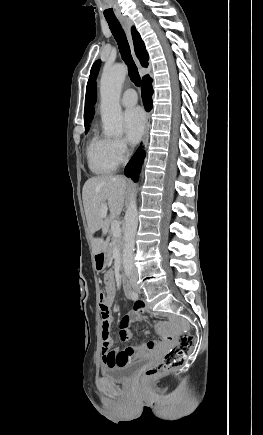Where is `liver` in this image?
I'll use <instances>...</instances> for the list:
<instances>
[{
	"mask_svg": "<svg viewBox=\"0 0 263 435\" xmlns=\"http://www.w3.org/2000/svg\"><path fill=\"white\" fill-rule=\"evenodd\" d=\"M127 186L122 176L92 177L83 186V205L95 255L107 250L109 238H94L93 234L98 230H102L103 236L108 233L110 223L122 212ZM102 205L108 206V217H102Z\"/></svg>",
	"mask_w": 263,
	"mask_h": 435,
	"instance_id": "1",
	"label": "liver"
}]
</instances>
